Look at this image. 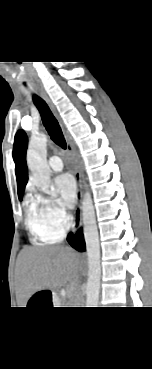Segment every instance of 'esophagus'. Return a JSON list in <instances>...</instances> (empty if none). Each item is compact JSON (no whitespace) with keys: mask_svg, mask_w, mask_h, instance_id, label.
<instances>
[{"mask_svg":"<svg viewBox=\"0 0 152 369\" xmlns=\"http://www.w3.org/2000/svg\"><path fill=\"white\" fill-rule=\"evenodd\" d=\"M42 96L45 98V100L49 103L50 107L52 108L53 112L55 113L61 127L62 130L64 132L65 135V140H66V144H67V150L71 156L72 162L74 164V169H75V178L77 181V196H76V207H75V211H74V222H73V226H72V231L73 234H76L77 231L79 230V228L82 225V179H81V172H80V166L78 163V159L76 156V152L74 149V146L71 142L70 137L67 134V131L64 127V124L62 122V120L60 119V117L58 116V114L56 113L52 103L50 102V100L48 99V97L46 96V94L42 91L41 92Z\"/></svg>","mask_w":152,"mask_h":369,"instance_id":"esophagus-1","label":"esophagus"}]
</instances>
